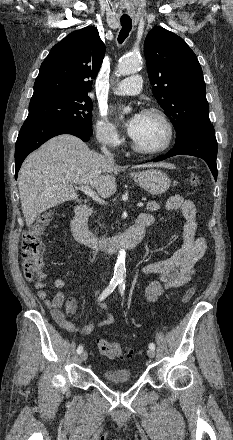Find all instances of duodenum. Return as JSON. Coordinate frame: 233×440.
Listing matches in <instances>:
<instances>
[{
	"label": "duodenum",
	"mask_w": 233,
	"mask_h": 440,
	"mask_svg": "<svg viewBox=\"0 0 233 440\" xmlns=\"http://www.w3.org/2000/svg\"><path fill=\"white\" fill-rule=\"evenodd\" d=\"M91 214L92 209L89 206L79 205L75 208L71 223L73 235L81 244L107 251H117L123 248L135 247L142 241L145 229L153 223L151 218L139 216L135 223L123 234L108 239H100L88 228L87 222Z\"/></svg>",
	"instance_id": "1"
}]
</instances>
